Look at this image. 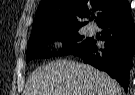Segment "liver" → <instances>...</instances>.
I'll list each match as a JSON object with an SVG mask.
<instances>
[{"label": "liver", "mask_w": 135, "mask_h": 95, "mask_svg": "<svg viewBox=\"0 0 135 95\" xmlns=\"http://www.w3.org/2000/svg\"><path fill=\"white\" fill-rule=\"evenodd\" d=\"M122 88L105 72L78 62L59 60L35 70L24 95H121Z\"/></svg>", "instance_id": "6515ba94"}]
</instances>
